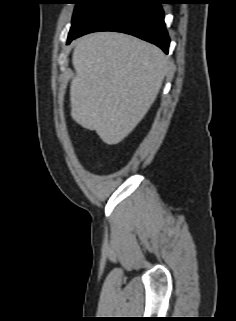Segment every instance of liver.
<instances>
[{
  "mask_svg": "<svg viewBox=\"0 0 236 321\" xmlns=\"http://www.w3.org/2000/svg\"><path fill=\"white\" fill-rule=\"evenodd\" d=\"M72 64L71 116L108 145L120 143L144 118L170 69L158 47L116 32L78 39Z\"/></svg>",
  "mask_w": 236,
  "mask_h": 321,
  "instance_id": "obj_1",
  "label": "liver"
}]
</instances>
